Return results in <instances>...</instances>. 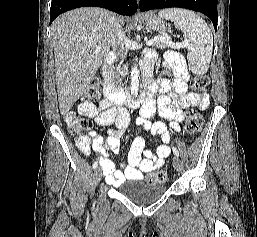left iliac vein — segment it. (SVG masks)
<instances>
[{
	"label": "left iliac vein",
	"instance_id": "left-iliac-vein-1",
	"mask_svg": "<svg viewBox=\"0 0 257 237\" xmlns=\"http://www.w3.org/2000/svg\"><path fill=\"white\" fill-rule=\"evenodd\" d=\"M173 166L178 171L182 169V162L177 156L173 158Z\"/></svg>",
	"mask_w": 257,
	"mask_h": 237
}]
</instances>
